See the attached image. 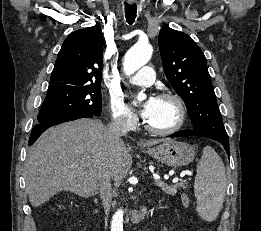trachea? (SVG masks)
I'll list each match as a JSON object with an SVG mask.
<instances>
[{"label": "trachea", "mask_w": 261, "mask_h": 231, "mask_svg": "<svg viewBox=\"0 0 261 231\" xmlns=\"http://www.w3.org/2000/svg\"><path fill=\"white\" fill-rule=\"evenodd\" d=\"M136 13H137V6L136 4L130 5V4H125V17L126 21L132 25L135 21L136 18Z\"/></svg>", "instance_id": "trachea-1"}]
</instances>
